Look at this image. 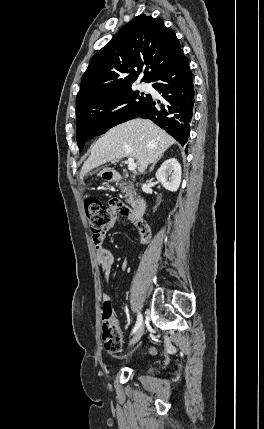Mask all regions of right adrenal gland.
I'll return each mask as SVG.
<instances>
[{
    "instance_id": "right-adrenal-gland-1",
    "label": "right adrenal gland",
    "mask_w": 264,
    "mask_h": 429,
    "mask_svg": "<svg viewBox=\"0 0 264 429\" xmlns=\"http://www.w3.org/2000/svg\"><path fill=\"white\" fill-rule=\"evenodd\" d=\"M162 157H163V155L159 156V158H157V159L153 162L152 166L150 167L149 172H152V171L154 170L155 165L157 164V162H158Z\"/></svg>"
}]
</instances>
